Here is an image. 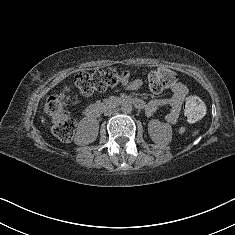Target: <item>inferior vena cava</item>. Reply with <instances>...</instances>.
I'll return each mask as SVG.
<instances>
[{"mask_svg": "<svg viewBox=\"0 0 235 235\" xmlns=\"http://www.w3.org/2000/svg\"><path fill=\"white\" fill-rule=\"evenodd\" d=\"M112 113H113V110H108V111L105 112L106 115H110Z\"/></svg>", "mask_w": 235, "mask_h": 235, "instance_id": "inferior-vena-cava-1", "label": "inferior vena cava"}]
</instances>
